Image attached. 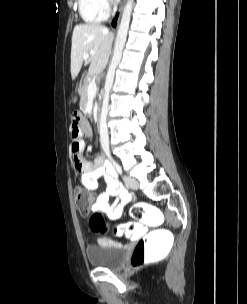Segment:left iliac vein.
Here are the masks:
<instances>
[{"mask_svg": "<svg viewBox=\"0 0 247 304\" xmlns=\"http://www.w3.org/2000/svg\"><path fill=\"white\" fill-rule=\"evenodd\" d=\"M123 179L127 187H129L132 190L138 189L139 183L135 178L131 176H124Z\"/></svg>", "mask_w": 247, "mask_h": 304, "instance_id": "obj_1", "label": "left iliac vein"}]
</instances>
